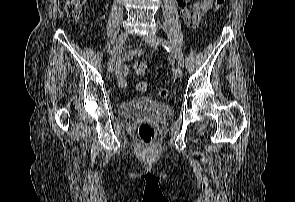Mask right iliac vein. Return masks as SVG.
Returning <instances> with one entry per match:
<instances>
[{"mask_svg":"<svg viewBox=\"0 0 295 202\" xmlns=\"http://www.w3.org/2000/svg\"><path fill=\"white\" fill-rule=\"evenodd\" d=\"M128 37H129L128 32H123L117 38V40H116V42H115V44L113 46L109 62H108V70H109V72H114V70H115V64H114L115 58L118 55V53L120 52L123 44L127 41Z\"/></svg>","mask_w":295,"mask_h":202,"instance_id":"right-iliac-vein-1","label":"right iliac vein"}]
</instances>
